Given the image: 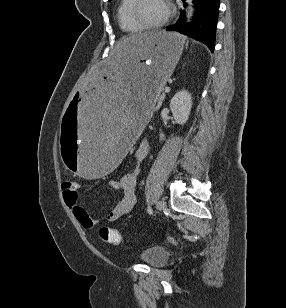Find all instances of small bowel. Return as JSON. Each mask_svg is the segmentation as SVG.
<instances>
[{"label": "small bowel", "instance_id": "obj_1", "mask_svg": "<svg viewBox=\"0 0 286 308\" xmlns=\"http://www.w3.org/2000/svg\"><path fill=\"white\" fill-rule=\"evenodd\" d=\"M148 152V142L146 140L141 141L135 152L136 160L138 162L143 161L147 157ZM138 176L139 169L135 168L134 170L123 174L119 180L111 181V186L115 189H120L123 192V196L118 204L109 213L108 221L114 222L132 210L136 200L135 189ZM63 197L65 203L70 207L79 224L85 230L94 229L96 226V221L90 217L85 208L79 202L78 192L76 194H67L64 191Z\"/></svg>", "mask_w": 286, "mask_h": 308}]
</instances>
